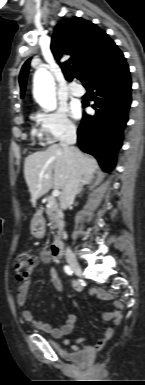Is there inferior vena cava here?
I'll return each mask as SVG.
<instances>
[{
    "instance_id": "obj_1",
    "label": "inferior vena cava",
    "mask_w": 145,
    "mask_h": 385,
    "mask_svg": "<svg viewBox=\"0 0 145 385\" xmlns=\"http://www.w3.org/2000/svg\"><path fill=\"white\" fill-rule=\"evenodd\" d=\"M76 139V127L74 125H68L65 130V134L61 138L60 143V145L68 151L69 166L68 178L60 196V207L63 210H66L68 206L74 202L75 196L82 180L78 159L76 154L74 153L75 147H73V145L76 143ZM65 255H72V251L69 247L66 248Z\"/></svg>"
}]
</instances>
